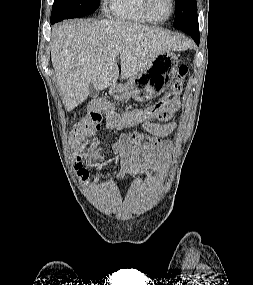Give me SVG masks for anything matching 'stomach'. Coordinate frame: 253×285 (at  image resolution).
Listing matches in <instances>:
<instances>
[{"instance_id":"obj_1","label":"stomach","mask_w":253,"mask_h":285,"mask_svg":"<svg viewBox=\"0 0 253 285\" xmlns=\"http://www.w3.org/2000/svg\"><path fill=\"white\" fill-rule=\"evenodd\" d=\"M178 62V57L173 52L165 51L126 83L111 85L109 94L116 100H151L169 87L176 75Z\"/></svg>"}]
</instances>
